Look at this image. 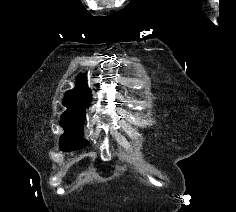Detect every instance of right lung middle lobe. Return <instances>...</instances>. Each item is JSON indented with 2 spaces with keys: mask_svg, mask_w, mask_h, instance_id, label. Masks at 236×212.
<instances>
[{
  "mask_svg": "<svg viewBox=\"0 0 236 212\" xmlns=\"http://www.w3.org/2000/svg\"><path fill=\"white\" fill-rule=\"evenodd\" d=\"M85 111L67 110L62 114L60 125L65 130L59 140L60 149L64 152L85 147L88 142L82 138V125Z\"/></svg>",
  "mask_w": 236,
  "mask_h": 212,
  "instance_id": "dd1d6c3e",
  "label": "right lung middle lobe"
}]
</instances>
